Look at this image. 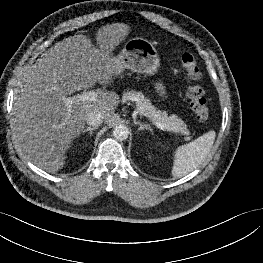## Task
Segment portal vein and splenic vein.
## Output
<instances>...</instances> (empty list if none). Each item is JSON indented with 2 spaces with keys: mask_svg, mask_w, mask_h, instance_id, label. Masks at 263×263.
Wrapping results in <instances>:
<instances>
[{
  "mask_svg": "<svg viewBox=\"0 0 263 263\" xmlns=\"http://www.w3.org/2000/svg\"><path fill=\"white\" fill-rule=\"evenodd\" d=\"M98 97V93L95 92V91H87V92H84L83 94L81 95H77V96H74V97H71L70 99H68V103L70 102H73V101H88V100H96V98ZM70 112H71V109H70V106H69V109H68V112L67 114L70 115ZM150 121L157 127V128H160L162 130H164V125L162 123H160L158 120L154 119V118H150Z\"/></svg>",
  "mask_w": 263,
  "mask_h": 263,
  "instance_id": "1",
  "label": "portal vein and splenic vein"
}]
</instances>
